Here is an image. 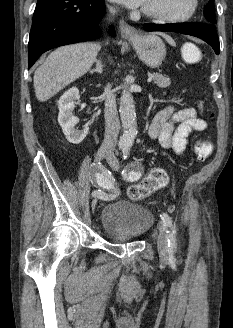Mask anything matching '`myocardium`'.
Segmentation results:
<instances>
[{"instance_id":"obj_1","label":"myocardium","mask_w":233,"mask_h":328,"mask_svg":"<svg viewBox=\"0 0 233 328\" xmlns=\"http://www.w3.org/2000/svg\"><path fill=\"white\" fill-rule=\"evenodd\" d=\"M199 8V0H190V8L187 13L181 16H167L159 13L150 12L144 8H142V14L156 22L160 23H184L190 21L197 13Z\"/></svg>"}]
</instances>
